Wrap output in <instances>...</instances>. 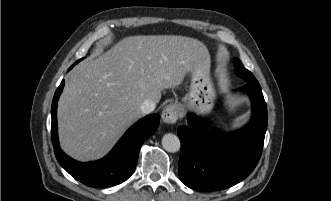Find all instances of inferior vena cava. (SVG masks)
Returning <instances> with one entry per match:
<instances>
[{
  "instance_id": "inferior-vena-cava-1",
  "label": "inferior vena cava",
  "mask_w": 331,
  "mask_h": 201,
  "mask_svg": "<svg viewBox=\"0 0 331 201\" xmlns=\"http://www.w3.org/2000/svg\"><path fill=\"white\" fill-rule=\"evenodd\" d=\"M155 107H156V104H155L152 100L146 99V100L142 103L140 109H141V112H142L143 114H149V113H151L152 111H154Z\"/></svg>"
}]
</instances>
